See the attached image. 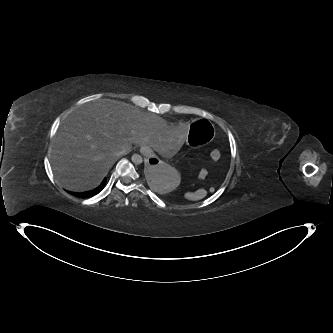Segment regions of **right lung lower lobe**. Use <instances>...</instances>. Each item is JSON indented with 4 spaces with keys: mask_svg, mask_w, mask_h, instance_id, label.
<instances>
[{
    "mask_svg": "<svg viewBox=\"0 0 333 333\" xmlns=\"http://www.w3.org/2000/svg\"><path fill=\"white\" fill-rule=\"evenodd\" d=\"M105 183H106V178L103 180L101 185L99 187H97L96 189L88 191V192H83V193H75L74 195L79 198H87V197L94 196L103 189Z\"/></svg>",
    "mask_w": 333,
    "mask_h": 333,
    "instance_id": "98d812e1",
    "label": "right lung lower lobe"
}]
</instances>
